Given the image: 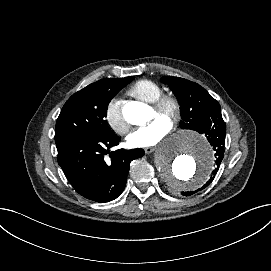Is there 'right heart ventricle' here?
I'll list each match as a JSON object with an SVG mask.
<instances>
[{
	"instance_id": "e07e8e85",
	"label": "right heart ventricle",
	"mask_w": 271,
	"mask_h": 271,
	"mask_svg": "<svg viewBox=\"0 0 271 271\" xmlns=\"http://www.w3.org/2000/svg\"><path fill=\"white\" fill-rule=\"evenodd\" d=\"M129 92L145 102L154 103L163 94V88L154 80L141 79L130 87Z\"/></svg>"
}]
</instances>
